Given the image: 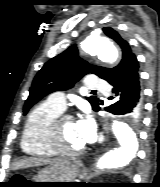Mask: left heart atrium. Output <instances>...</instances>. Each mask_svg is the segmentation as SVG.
Masks as SVG:
<instances>
[{"label": "left heart atrium", "mask_w": 160, "mask_h": 187, "mask_svg": "<svg viewBox=\"0 0 160 187\" xmlns=\"http://www.w3.org/2000/svg\"><path fill=\"white\" fill-rule=\"evenodd\" d=\"M77 132L84 144L90 143L95 138V124L89 117H84L75 122Z\"/></svg>", "instance_id": "1"}]
</instances>
